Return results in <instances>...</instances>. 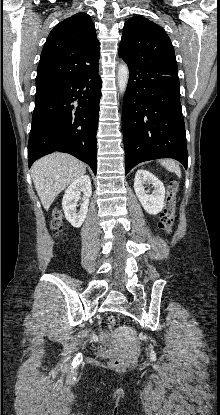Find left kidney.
I'll use <instances>...</instances> for the list:
<instances>
[{
  "label": "left kidney",
  "mask_w": 220,
  "mask_h": 415,
  "mask_svg": "<svg viewBox=\"0 0 220 415\" xmlns=\"http://www.w3.org/2000/svg\"><path fill=\"white\" fill-rule=\"evenodd\" d=\"M152 184L154 190L151 194L146 191L144 184ZM134 191L144 210L152 215L162 211L165 199V187L163 183L152 173L140 169L135 174Z\"/></svg>",
  "instance_id": "5707ae66"
}]
</instances>
